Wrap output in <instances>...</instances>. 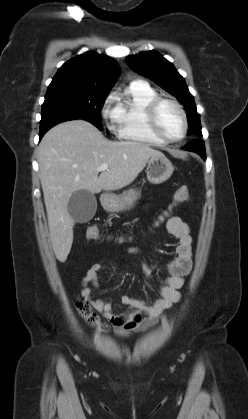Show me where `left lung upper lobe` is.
I'll use <instances>...</instances> for the list:
<instances>
[{"instance_id": "1", "label": "left lung upper lobe", "mask_w": 248, "mask_h": 419, "mask_svg": "<svg viewBox=\"0 0 248 419\" xmlns=\"http://www.w3.org/2000/svg\"><path fill=\"white\" fill-rule=\"evenodd\" d=\"M126 63L133 71L148 77L174 95L186 110L188 132L202 137L200 115L197 113L194 98L189 92L184 78L168 60L156 51H148L128 56Z\"/></svg>"}]
</instances>
